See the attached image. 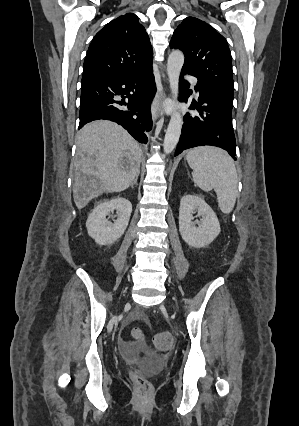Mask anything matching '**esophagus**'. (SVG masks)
I'll use <instances>...</instances> for the list:
<instances>
[{"mask_svg": "<svg viewBox=\"0 0 299 426\" xmlns=\"http://www.w3.org/2000/svg\"><path fill=\"white\" fill-rule=\"evenodd\" d=\"M165 98L166 90L162 95L156 93L151 106L153 120H156L160 116L161 112L165 109Z\"/></svg>", "mask_w": 299, "mask_h": 426, "instance_id": "esophagus-1", "label": "esophagus"}]
</instances>
